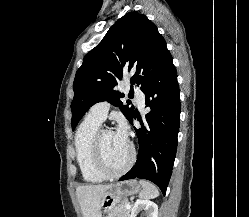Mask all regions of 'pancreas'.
<instances>
[{"label": "pancreas", "instance_id": "obj_1", "mask_svg": "<svg viewBox=\"0 0 249 217\" xmlns=\"http://www.w3.org/2000/svg\"><path fill=\"white\" fill-rule=\"evenodd\" d=\"M128 204L127 200H123L120 204H118L107 217H128L130 213V209H126V205Z\"/></svg>", "mask_w": 249, "mask_h": 217}]
</instances>
